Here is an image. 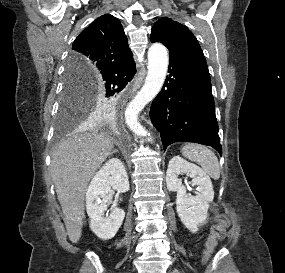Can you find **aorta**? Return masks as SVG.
I'll return each instance as SVG.
<instances>
[{
    "label": "aorta",
    "mask_w": 285,
    "mask_h": 273,
    "mask_svg": "<svg viewBox=\"0 0 285 273\" xmlns=\"http://www.w3.org/2000/svg\"><path fill=\"white\" fill-rule=\"evenodd\" d=\"M168 62L166 47L161 43L152 44L148 50V74L145 83L130 102L125 113L128 126L139 136H149L138 122V114L161 90L166 77Z\"/></svg>",
    "instance_id": "obj_1"
}]
</instances>
